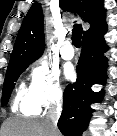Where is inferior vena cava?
<instances>
[{"mask_svg": "<svg viewBox=\"0 0 117 136\" xmlns=\"http://www.w3.org/2000/svg\"><path fill=\"white\" fill-rule=\"evenodd\" d=\"M62 111V104L60 100H57L49 109L47 113V124L50 131V136H56L57 129V123L59 120V117L61 115Z\"/></svg>", "mask_w": 117, "mask_h": 136, "instance_id": "obj_1", "label": "inferior vena cava"}]
</instances>
